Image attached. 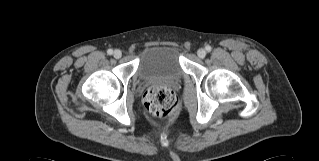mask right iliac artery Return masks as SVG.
I'll return each mask as SVG.
<instances>
[{
  "label": "right iliac artery",
  "mask_w": 319,
  "mask_h": 161,
  "mask_svg": "<svg viewBox=\"0 0 319 161\" xmlns=\"http://www.w3.org/2000/svg\"><path fill=\"white\" fill-rule=\"evenodd\" d=\"M107 53H108L109 55H112L113 50H112V49H108Z\"/></svg>",
  "instance_id": "82829eb1"
}]
</instances>
